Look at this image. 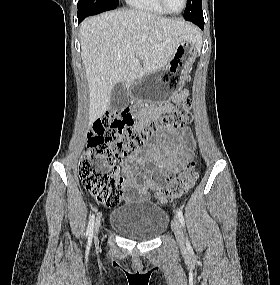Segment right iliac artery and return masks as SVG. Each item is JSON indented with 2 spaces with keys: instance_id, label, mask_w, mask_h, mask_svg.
I'll return each mask as SVG.
<instances>
[{
  "instance_id": "obj_1",
  "label": "right iliac artery",
  "mask_w": 280,
  "mask_h": 285,
  "mask_svg": "<svg viewBox=\"0 0 280 285\" xmlns=\"http://www.w3.org/2000/svg\"><path fill=\"white\" fill-rule=\"evenodd\" d=\"M94 221H95V215L93 214L90 217L89 224H88V227H87V232H86V235L89 236V239H91L92 235H93Z\"/></svg>"
}]
</instances>
